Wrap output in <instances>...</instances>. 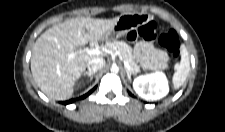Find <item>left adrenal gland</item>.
<instances>
[{"instance_id": "obj_1", "label": "left adrenal gland", "mask_w": 225, "mask_h": 132, "mask_svg": "<svg viewBox=\"0 0 225 132\" xmlns=\"http://www.w3.org/2000/svg\"><path fill=\"white\" fill-rule=\"evenodd\" d=\"M126 73L129 81H131V75L134 74V72H131L130 70L126 69Z\"/></svg>"}]
</instances>
